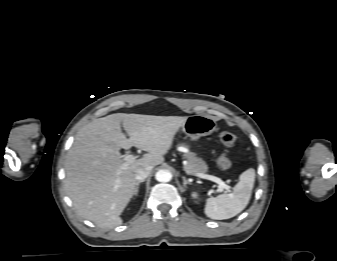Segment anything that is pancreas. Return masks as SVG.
<instances>
[{"instance_id":"obj_1","label":"pancreas","mask_w":337,"mask_h":261,"mask_svg":"<svg viewBox=\"0 0 337 261\" xmlns=\"http://www.w3.org/2000/svg\"><path fill=\"white\" fill-rule=\"evenodd\" d=\"M185 158L187 159V163L184 165V171L187 174H205L208 171L206 162L196 157L193 152L185 154Z\"/></svg>"}]
</instances>
